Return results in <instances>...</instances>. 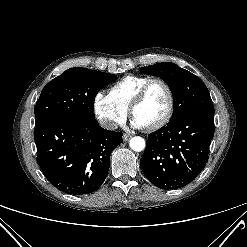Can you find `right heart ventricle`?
I'll list each match as a JSON object with an SVG mask.
<instances>
[{"mask_svg":"<svg viewBox=\"0 0 247 247\" xmlns=\"http://www.w3.org/2000/svg\"><path fill=\"white\" fill-rule=\"evenodd\" d=\"M149 79L142 75L125 76L110 88L109 94L119 105L128 109L138 90Z\"/></svg>","mask_w":247,"mask_h":247,"instance_id":"right-heart-ventricle-1","label":"right heart ventricle"}]
</instances>
